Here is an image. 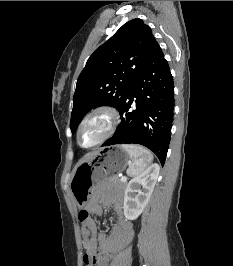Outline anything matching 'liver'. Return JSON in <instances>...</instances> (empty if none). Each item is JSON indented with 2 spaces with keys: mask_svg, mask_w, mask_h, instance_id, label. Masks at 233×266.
Listing matches in <instances>:
<instances>
[{
  "mask_svg": "<svg viewBox=\"0 0 233 266\" xmlns=\"http://www.w3.org/2000/svg\"><path fill=\"white\" fill-rule=\"evenodd\" d=\"M96 153H97V152H93V153L88 154L86 157H84V158L78 163V165H80V164H82V163H84V162H88V161H90V160L96 155ZM78 165H77V166H78Z\"/></svg>",
  "mask_w": 233,
  "mask_h": 266,
  "instance_id": "obj_1",
  "label": "liver"
}]
</instances>
